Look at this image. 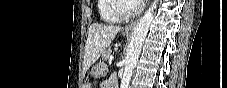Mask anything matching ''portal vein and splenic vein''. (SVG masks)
<instances>
[{"label": "portal vein and splenic vein", "instance_id": "obj_1", "mask_svg": "<svg viewBox=\"0 0 227 88\" xmlns=\"http://www.w3.org/2000/svg\"><path fill=\"white\" fill-rule=\"evenodd\" d=\"M113 59H114V57L111 55V56L109 57V62H112Z\"/></svg>", "mask_w": 227, "mask_h": 88}]
</instances>
